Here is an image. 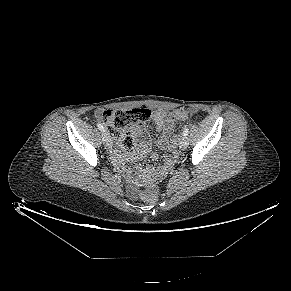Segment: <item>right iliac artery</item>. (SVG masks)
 I'll return each instance as SVG.
<instances>
[{"instance_id":"right-iliac-artery-1","label":"right iliac artery","mask_w":291,"mask_h":291,"mask_svg":"<svg viewBox=\"0 0 291 291\" xmlns=\"http://www.w3.org/2000/svg\"><path fill=\"white\" fill-rule=\"evenodd\" d=\"M97 127H98V129H99L100 131L105 132L104 127H103L102 124L98 123V124H97Z\"/></svg>"}]
</instances>
